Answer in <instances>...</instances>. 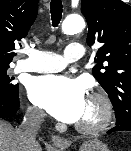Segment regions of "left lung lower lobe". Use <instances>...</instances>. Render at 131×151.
Listing matches in <instances>:
<instances>
[{"instance_id": "1", "label": "left lung lower lobe", "mask_w": 131, "mask_h": 151, "mask_svg": "<svg viewBox=\"0 0 131 151\" xmlns=\"http://www.w3.org/2000/svg\"><path fill=\"white\" fill-rule=\"evenodd\" d=\"M118 131H131V119L116 123V126L108 131V133Z\"/></svg>"}]
</instances>
